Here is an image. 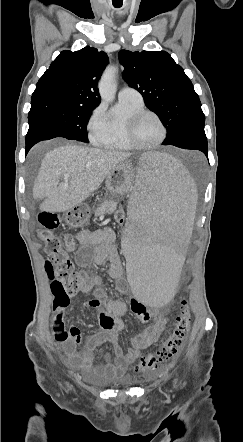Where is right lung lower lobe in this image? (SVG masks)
Listing matches in <instances>:
<instances>
[{
    "label": "right lung lower lobe",
    "instance_id": "right-lung-lower-lobe-1",
    "mask_svg": "<svg viewBox=\"0 0 243 442\" xmlns=\"http://www.w3.org/2000/svg\"><path fill=\"white\" fill-rule=\"evenodd\" d=\"M55 137H64L67 138V134L62 130L56 129L54 127L36 123L33 125H29V130L26 135V153L30 150V148L42 140H49Z\"/></svg>",
    "mask_w": 243,
    "mask_h": 442
}]
</instances>
